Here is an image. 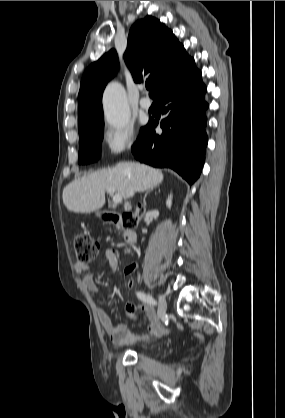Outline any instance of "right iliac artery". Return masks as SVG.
I'll use <instances>...</instances> for the list:
<instances>
[{"instance_id":"82829eb1","label":"right iliac artery","mask_w":285,"mask_h":418,"mask_svg":"<svg viewBox=\"0 0 285 418\" xmlns=\"http://www.w3.org/2000/svg\"><path fill=\"white\" fill-rule=\"evenodd\" d=\"M137 297L140 300H142L143 302H146V303L151 304V305H157V302L155 301V299L152 296L147 295L143 292H137Z\"/></svg>"}]
</instances>
